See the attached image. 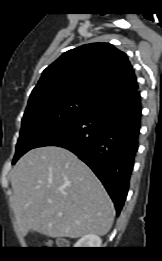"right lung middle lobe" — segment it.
<instances>
[{"label":"right lung middle lobe","instance_id":"obj_1","mask_svg":"<svg viewBox=\"0 0 162 261\" xmlns=\"http://www.w3.org/2000/svg\"><path fill=\"white\" fill-rule=\"evenodd\" d=\"M100 102L79 93L29 100L25 110L13 164L48 133L92 109Z\"/></svg>","mask_w":162,"mask_h":261}]
</instances>
